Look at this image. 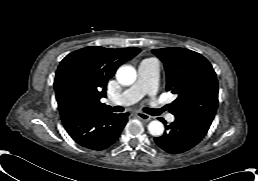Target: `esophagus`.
I'll list each match as a JSON object with an SVG mask.
<instances>
[{
	"instance_id": "esophagus-1",
	"label": "esophagus",
	"mask_w": 258,
	"mask_h": 181,
	"mask_svg": "<svg viewBox=\"0 0 258 181\" xmlns=\"http://www.w3.org/2000/svg\"><path fill=\"white\" fill-rule=\"evenodd\" d=\"M136 115L142 121H150L152 118L150 115L143 113V112H137Z\"/></svg>"
}]
</instances>
